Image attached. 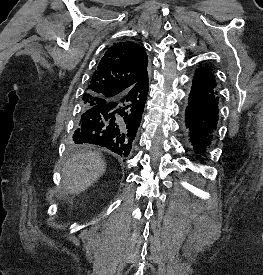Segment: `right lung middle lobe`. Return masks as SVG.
Listing matches in <instances>:
<instances>
[{
	"instance_id": "obj_1",
	"label": "right lung middle lobe",
	"mask_w": 263,
	"mask_h": 275,
	"mask_svg": "<svg viewBox=\"0 0 263 275\" xmlns=\"http://www.w3.org/2000/svg\"><path fill=\"white\" fill-rule=\"evenodd\" d=\"M101 98H98L96 96L90 95V94H85L83 97V109L90 108L94 105H97L101 102H103ZM74 148L79 149L80 147L78 145H75Z\"/></svg>"
}]
</instances>
